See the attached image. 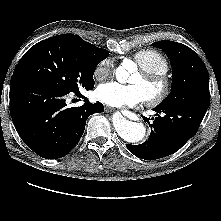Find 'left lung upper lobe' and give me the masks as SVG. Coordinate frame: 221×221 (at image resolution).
<instances>
[{
  "mask_svg": "<svg viewBox=\"0 0 221 221\" xmlns=\"http://www.w3.org/2000/svg\"><path fill=\"white\" fill-rule=\"evenodd\" d=\"M162 49L173 69L172 90L161 106L209 98V76L201 58L184 44L162 40L152 44Z\"/></svg>",
  "mask_w": 221,
  "mask_h": 221,
  "instance_id": "left-lung-upper-lobe-1",
  "label": "left lung upper lobe"
}]
</instances>
